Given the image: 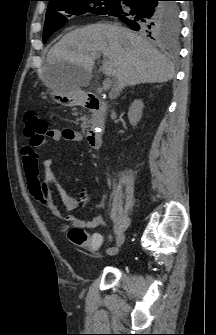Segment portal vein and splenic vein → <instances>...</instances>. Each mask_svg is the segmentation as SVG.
Listing matches in <instances>:
<instances>
[{
	"instance_id": "1",
	"label": "portal vein and splenic vein",
	"mask_w": 216,
	"mask_h": 335,
	"mask_svg": "<svg viewBox=\"0 0 216 335\" xmlns=\"http://www.w3.org/2000/svg\"><path fill=\"white\" fill-rule=\"evenodd\" d=\"M111 86H112V79L111 78L105 79L103 82V90L107 91L111 88Z\"/></svg>"
}]
</instances>
